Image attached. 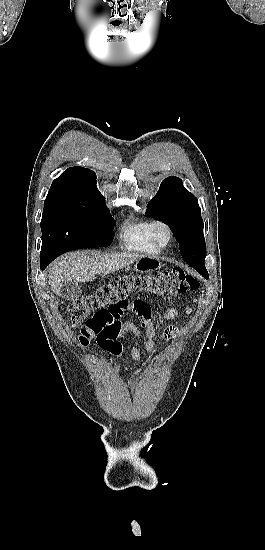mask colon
<instances>
[{"label": "colon", "instance_id": "5ec220e1", "mask_svg": "<svg viewBox=\"0 0 265 550\" xmlns=\"http://www.w3.org/2000/svg\"><path fill=\"white\" fill-rule=\"evenodd\" d=\"M198 288V279L181 268L147 275L127 274L76 299L69 305L68 312L73 326L85 323L99 335V339L103 336L109 338L117 330L115 321L127 311L133 312L144 324L146 312L142 307L147 303L142 300L129 301L131 294L146 293L172 298Z\"/></svg>", "mask_w": 265, "mask_h": 550}]
</instances>
